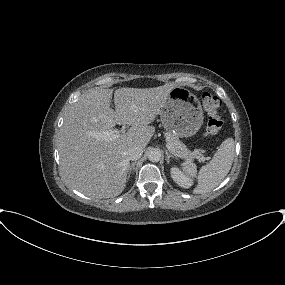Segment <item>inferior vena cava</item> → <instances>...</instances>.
Returning <instances> with one entry per match:
<instances>
[{
    "mask_svg": "<svg viewBox=\"0 0 285 285\" xmlns=\"http://www.w3.org/2000/svg\"><path fill=\"white\" fill-rule=\"evenodd\" d=\"M142 154H143V148L140 146L131 147L127 151L128 159L132 161L140 159Z\"/></svg>",
    "mask_w": 285,
    "mask_h": 285,
    "instance_id": "1",
    "label": "inferior vena cava"
}]
</instances>
